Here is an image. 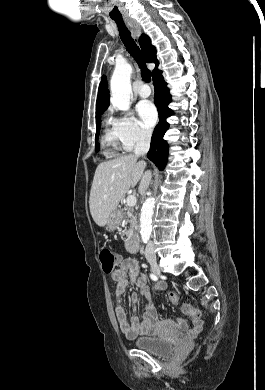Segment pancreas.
Wrapping results in <instances>:
<instances>
[{
	"instance_id": "pancreas-1",
	"label": "pancreas",
	"mask_w": 265,
	"mask_h": 390,
	"mask_svg": "<svg viewBox=\"0 0 265 390\" xmlns=\"http://www.w3.org/2000/svg\"><path fill=\"white\" fill-rule=\"evenodd\" d=\"M133 211L134 210L132 207H127L122 211L124 224H130V228L128 230L125 229L122 232V235H126L128 238L132 236L137 230V217L133 214ZM125 241L127 242L128 239Z\"/></svg>"
}]
</instances>
